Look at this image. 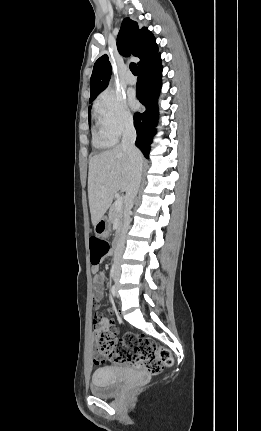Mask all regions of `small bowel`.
Masks as SVG:
<instances>
[{"instance_id":"c3829d8e","label":"small bowel","mask_w":261,"mask_h":431,"mask_svg":"<svg viewBox=\"0 0 261 431\" xmlns=\"http://www.w3.org/2000/svg\"><path fill=\"white\" fill-rule=\"evenodd\" d=\"M94 278L93 282L95 285V291L93 292V295L95 298L92 300V303L95 306H98L101 303V299L104 295V283H105V274L103 272H100L97 270V268H94ZM92 316L94 317L93 321V331L95 334H99L102 332H111V322L105 318L101 317L102 313L99 310H95L92 313ZM110 316H113V313H110Z\"/></svg>"}]
</instances>
